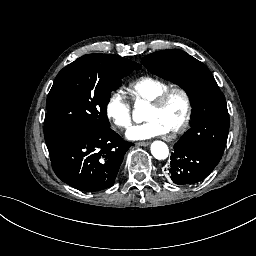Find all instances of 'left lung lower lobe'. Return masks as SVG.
<instances>
[{"mask_svg":"<svg viewBox=\"0 0 256 256\" xmlns=\"http://www.w3.org/2000/svg\"><path fill=\"white\" fill-rule=\"evenodd\" d=\"M206 177L207 175H179V174L171 173V179L176 184L197 183Z\"/></svg>","mask_w":256,"mask_h":256,"instance_id":"1","label":"left lung lower lobe"}]
</instances>
